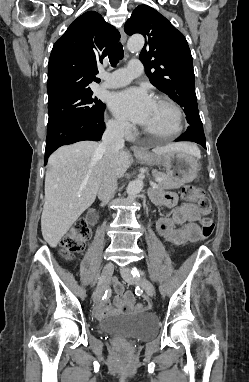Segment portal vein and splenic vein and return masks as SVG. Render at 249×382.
<instances>
[{"label": "portal vein and splenic vein", "instance_id": "18ae733b", "mask_svg": "<svg viewBox=\"0 0 249 382\" xmlns=\"http://www.w3.org/2000/svg\"><path fill=\"white\" fill-rule=\"evenodd\" d=\"M162 180H163L162 178H156V179H155V182H150L151 187H152V188H157L158 185H157L156 182H160V181H162Z\"/></svg>", "mask_w": 249, "mask_h": 382}]
</instances>
